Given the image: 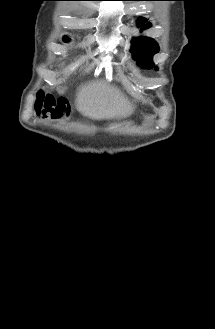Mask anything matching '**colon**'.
<instances>
[{"label":"colon","mask_w":215,"mask_h":329,"mask_svg":"<svg viewBox=\"0 0 215 329\" xmlns=\"http://www.w3.org/2000/svg\"><path fill=\"white\" fill-rule=\"evenodd\" d=\"M61 36L62 38H66V44H78L79 42L78 37H75V31H62ZM38 91L43 93L45 88L40 86ZM67 101V96H39L35 106V112L37 114H68L69 109L66 107Z\"/></svg>","instance_id":"1"}]
</instances>
